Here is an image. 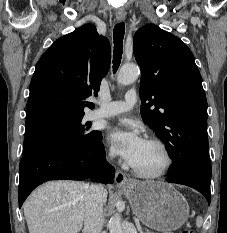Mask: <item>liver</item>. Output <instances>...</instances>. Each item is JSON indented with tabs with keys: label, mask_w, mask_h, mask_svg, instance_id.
I'll use <instances>...</instances> for the list:
<instances>
[{
	"label": "liver",
	"mask_w": 227,
	"mask_h": 233,
	"mask_svg": "<svg viewBox=\"0 0 227 233\" xmlns=\"http://www.w3.org/2000/svg\"><path fill=\"white\" fill-rule=\"evenodd\" d=\"M87 188L83 182L51 181L35 190L23 205L29 233H78L85 218Z\"/></svg>",
	"instance_id": "obj_1"
}]
</instances>
